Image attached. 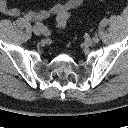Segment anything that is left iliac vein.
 I'll return each mask as SVG.
<instances>
[{"mask_svg": "<svg viewBox=\"0 0 128 128\" xmlns=\"http://www.w3.org/2000/svg\"><path fill=\"white\" fill-rule=\"evenodd\" d=\"M85 43H86V45L91 46L92 43H94V41L91 40V39H86V40H85Z\"/></svg>", "mask_w": 128, "mask_h": 128, "instance_id": "obj_1", "label": "left iliac vein"}]
</instances>
